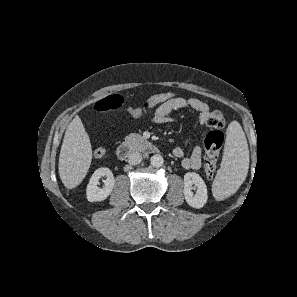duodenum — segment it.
Wrapping results in <instances>:
<instances>
[{
    "instance_id": "obj_1",
    "label": "duodenum",
    "mask_w": 297,
    "mask_h": 297,
    "mask_svg": "<svg viewBox=\"0 0 297 297\" xmlns=\"http://www.w3.org/2000/svg\"><path fill=\"white\" fill-rule=\"evenodd\" d=\"M142 150L149 153L158 152L157 146L148 141L142 144ZM133 151L134 146L130 143L124 142L117 147L116 154L120 161H125L130 157Z\"/></svg>"
}]
</instances>
